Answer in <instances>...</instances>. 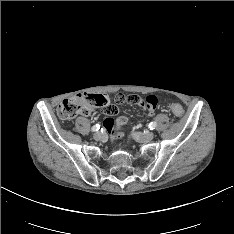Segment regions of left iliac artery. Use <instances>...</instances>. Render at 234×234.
I'll return each instance as SVG.
<instances>
[{
	"mask_svg": "<svg viewBox=\"0 0 234 234\" xmlns=\"http://www.w3.org/2000/svg\"><path fill=\"white\" fill-rule=\"evenodd\" d=\"M156 126H157V123H156V122H151V123L149 124V129H150V130H153V129L156 128Z\"/></svg>",
	"mask_w": 234,
	"mask_h": 234,
	"instance_id": "1",
	"label": "left iliac artery"
}]
</instances>
